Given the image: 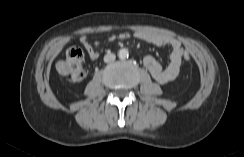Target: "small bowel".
I'll return each instance as SVG.
<instances>
[{
    "label": "small bowel",
    "instance_id": "small-bowel-1",
    "mask_svg": "<svg viewBox=\"0 0 244 157\" xmlns=\"http://www.w3.org/2000/svg\"><path fill=\"white\" fill-rule=\"evenodd\" d=\"M133 36L141 41L148 42L159 47H169L171 49L170 62L166 67H163L153 56L150 55L146 56L143 62L153 79L158 83L167 84L174 81L179 75L182 55L184 52L181 43L173 37L156 32H136ZM128 37H130V34L124 32L117 36L110 37L109 40H123ZM80 41L87 50L91 59L95 60L99 57L101 50L98 43L92 42L89 37H82Z\"/></svg>",
    "mask_w": 244,
    "mask_h": 157
}]
</instances>
